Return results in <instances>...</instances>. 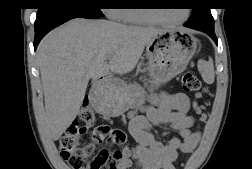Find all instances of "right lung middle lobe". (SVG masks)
Listing matches in <instances>:
<instances>
[{
  "label": "right lung middle lobe",
  "instance_id": "obj_1",
  "mask_svg": "<svg viewBox=\"0 0 252 169\" xmlns=\"http://www.w3.org/2000/svg\"><path fill=\"white\" fill-rule=\"evenodd\" d=\"M102 0H43L38 8L37 18L53 12L77 10L95 16H103L101 12Z\"/></svg>",
  "mask_w": 252,
  "mask_h": 169
}]
</instances>
